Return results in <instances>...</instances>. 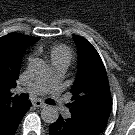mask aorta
<instances>
[{
	"label": "aorta",
	"mask_w": 135,
	"mask_h": 135,
	"mask_svg": "<svg viewBox=\"0 0 135 135\" xmlns=\"http://www.w3.org/2000/svg\"><path fill=\"white\" fill-rule=\"evenodd\" d=\"M28 72L34 79H44L49 75V66L42 59L35 58L28 64ZM41 118L48 124H53L59 118L58 109L47 106L41 111Z\"/></svg>",
	"instance_id": "aorta-1"
}]
</instances>
